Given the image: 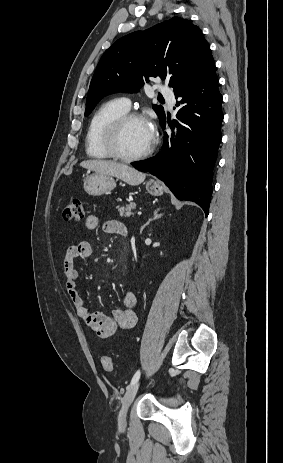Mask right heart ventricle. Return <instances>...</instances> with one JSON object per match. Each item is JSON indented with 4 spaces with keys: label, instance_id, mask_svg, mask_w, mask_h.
Here are the masks:
<instances>
[{
    "label": "right heart ventricle",
    "instance_id": "right-heart-ventricle-1",
    "mask_svg": "<svg viewBox=\"0 0 283 463\" xmlns=\"http://www.w3.org/2000/svg\"><path fill=\"white\" fill-rule=\"evenodd\" d=\"M128 112L121 99H113L102 104L93 114L86 133V154L93 159H108L109 154L103 146L106 127L118 116Z\"/></svg>",
    "mask_w": 283,
    "mask_h": 463
}]
</instances>
